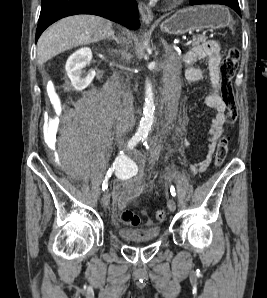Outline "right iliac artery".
<instances>
[{"instance_id":"1","label":"right iliac artery","mask_w":267,"mask_h":298,"mask_svg":"<svg viewBox=\"0 0 267 298\" xmlns=\"http://www.w3.org/2000/svg\"><path fill=\"white\" fill-rule=\"evenodd\" d=\"M142 139L141 136L139 135H135L129 142H128V149H133L138 143L139 141ZM128 161L127 156L125 155V153L123 151L120 152V154L117 156V158L115 159V163L113 165L112 168H110L107 172V175L105 177V180L102 184V189L107 190L108 188V179L109 177L112 175V173L114 172V169L118 166L122 167L126 162Z\"/></svg>"}]
</instances>
